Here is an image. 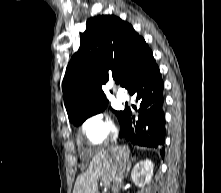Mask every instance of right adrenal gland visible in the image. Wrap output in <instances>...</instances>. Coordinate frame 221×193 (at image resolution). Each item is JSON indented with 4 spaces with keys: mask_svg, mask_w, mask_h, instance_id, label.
<instances>
[{
    "mask_svg": "<svg viewBox=\"0 0 221 193\" xmlns=\"http://www.w3.org/2000/svg\"><path fill=\"white\" fill-rule=\"evenodd\" d=\"M135 160L136 158L132 157L130 160L127 161V170H126L125 177H128L130 169H131V163L134 162Z\"/></svg>",
    "mask_w": 221,
    "mask_h": 193,
    "instance_id": "obj_1",
    "label": "right adrenal gland"
}]
</instances>
